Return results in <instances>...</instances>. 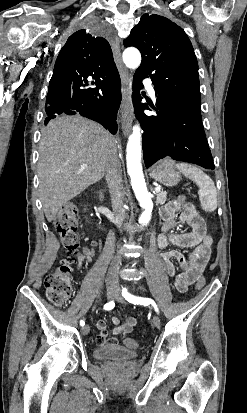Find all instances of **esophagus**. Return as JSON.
Listing matches in <instances>:
<instances>
[{
	"instance_id": "esophagus-1",
	"label": "esophagus",
	"mask_w": 247,
	"mask_h": 413,
	"mask_svg": "<svg viewBox=\"0 0 247 413\" xmlns=\"http://www.w3.org/2000/svg\"><path fill=\"white\" fill-rule=\"evenodd\" d=\"M111 47L113 50V57L117 68L119 70V74L121 77L122 87L124 89V93L122 95V103H121V129L125 136H127L132 127L133 118H134V109L131 101V97L128 93V89L130 87L131 78L129 76L128 70L125 67L124 63L121 59V48H120V39L115 34L111 38Z\"/></svg>"
}]
</instances>
